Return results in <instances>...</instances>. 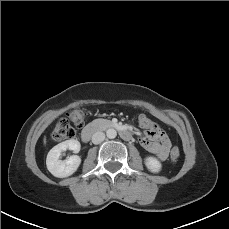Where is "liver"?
Instances as JSON below:
<instances>
[{"label":"liver","instance_id":"obj_1","mask_svg":"<svg viewBox=\"0 0 229 229\" xmlns=\"http://www.w3.org/2000/svg\"><path fill=\"white\" fill-rule=\"evenodd\" d=\"M44 144H46V138L43 139Z\"/></svg>","mask_w":229,"mask_h":229}]
</instances>
